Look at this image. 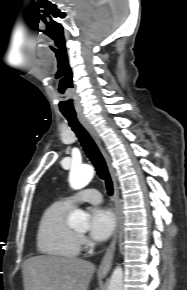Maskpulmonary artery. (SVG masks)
Masks as SVG:
<instances>
[{
  "mask_svg": "<svg viewBox=\"0 0 187 290\" xmlns=\"http://www.w3.org/2000/svg\"><path fill=\"white\" fill-rule=\"evenodd\" d=\"M101 201H102L101 194L94 189H87L78 194L69 196L64 199V202L70 206H73L78 202H88L92 204H98Z\"/></svg>",
  "mask_w": 187,
  "mask_h": 290,
  "instance_id": "obj_1",
  "label": "pulmonary artery"
}]
</instances>
